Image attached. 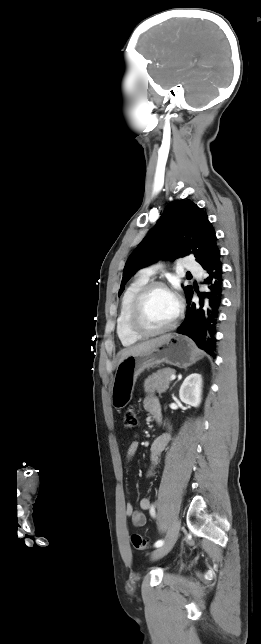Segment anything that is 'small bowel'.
Instances as JSON below:
<instances>
[{"label": "small bowel", "instance_id": "c3829d8e", "mask_svg": "<svg viewBox=\"0 0 261 644\" xmlns=\"http://www.w3.org/2000/svg\"><path fill=\"white\" fill-rule=\"evenodd\" d=\"M145 410L153 415L155 418L160 419L161 417V406L157 397L147 396L143 402ZM171 435L166 432L158 436L150 446V467L147 471V477H151L154 474L155 468L158 465L159 458L163 451L165 450L168 442L170 441ZM139 448L138 440H133L127 450V459L130 460L136 454ZM139 506L141 511L135 510L131 503H127L125 506V515L128 519L131 520L132 524L135 527H142L146 524V516L144 511L151 509V502L148 498H142L139 501Z\"/></svg>", "mask_w": 261, "mask_h": 644}]
</instances>
